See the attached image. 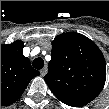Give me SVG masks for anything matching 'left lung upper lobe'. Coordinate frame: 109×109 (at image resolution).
Segmentation results:
<instances>
[{
	"instance_id": "1",
	"label": "left lung upper lobe",
	"mask_w": 109,
	"mask_h": 109,
	"mask_svg": "<svg viewBox=\"0 0 109 109\" xmlns=\"http://www.w3.org/2000/svg\"><path fill=\"white\" fill-rule=\"evenodd\" d=\"M63 103L83 106L101 92L106 79L105 59L86 36L67 32L52 41V59L44 77Z\"/></svg>"
}]
</instances>
